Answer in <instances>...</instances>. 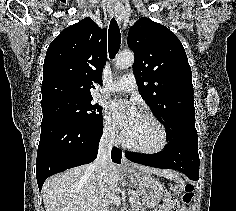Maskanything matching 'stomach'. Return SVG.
<instances>
[{
	"label": "stomach",
	"mask_w": 236,
	"mask_h": 211,
	"mask_svg": "<svg viewBox=\"0 0 236 211\" xmlns=\"http://www.w3.org/2000/svg\"><path fill=\"white\" fill-rule=\"evenodd\" d=\"M128 173L137 186L144 208H154L157 206L164 191L161 183L155 180L150 174L142 173L136 168L128 170Z\"/></svg>",
	"instance_id": "0dacf381"
}]
</instances>
